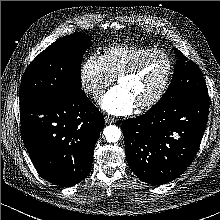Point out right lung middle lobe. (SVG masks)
<instances>
[{"instance_id":"dd1d6c3e","label":"right lung middle lobe","mask_w":220,"mask_h":220,"mask_svg":"<svg viewBox=\"0 0 220 220\" xmlns=\"http://www.w3.org/2000/svg\"><path fill=\"white\" fill-rule=\"evenodd\" d=\"M91 37L77 33L58 39L43 50L26 69L20 102L46 98L72 99L81 89V62Z\"/></svg>"}]
</instances>
